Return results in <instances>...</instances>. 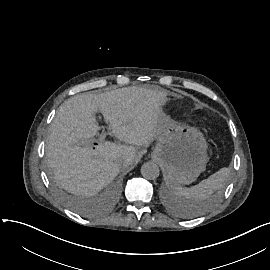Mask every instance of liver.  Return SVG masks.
Instances as JSON below:
<instances>
[{"mask_svg": "<svg viewBox=\"0 0 270 270\" xmlns=\"http://www.w3.org/2000/svg\"><path fill=\"white\" fill-rule=\"evenodd\" d=\"M168 96L160 89L137 86L69 98L50 125L46 145L47 163L56 180L72 193L95 195L119 170L134 163L135 146L148 147L157 138ZM97 113L109 120L113 136L122 144L108 140L83 144L97 135Z\"/></svg>", "mask_w": 270, "mask_h": 270, "instance_id": "6515ba94", "label": "liver"}]
</instances>
